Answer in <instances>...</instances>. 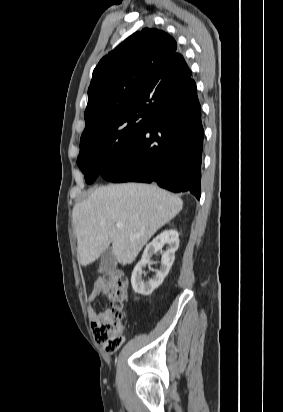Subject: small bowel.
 <instances>
[{
	"instance_id": "1",
	"label": "small bowel",
	"mask_w": 283,
	"mask_h": 412,
	"mask_svg": "<svg viewBox=\"0 0 283 412\" xmlns=\"http://www.w3.org/2000/svg\"><path fill=\"white\" fill-rule=\"evenodd\" d=\"M108 289L106 284L101 280V279H97L94 283V286L91 290V292L88 295V303H89V308H88V315L89 318L92 322L96 321L97 319H99L100 317L104 316L106 314V311H96V309L94 308V303L97 300V298L100 295H105L107 294Z\"/></svg>"
}]
</instances>
